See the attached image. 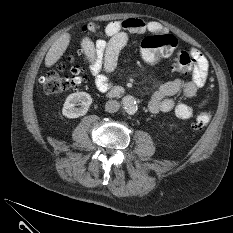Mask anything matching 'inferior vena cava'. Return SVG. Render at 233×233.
Here are the masks:
<instances>
[{
  "label": "inferior vena cava",
  "instance_id": "1",
  "mask_svg": "<svg viewBox=\"0 0 233 233\" xmlns=\"http://www.w3.org/2000/svg\"><path fill=\"white\" fill-rule=\"evenodd\" d=\"M120 108V104L117 100H109L105 104V110L109 113L117 112Z\"/></svg>",
  "mask_w": 233,
  "mask_h": 233
}]
</instances>
